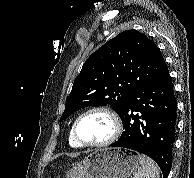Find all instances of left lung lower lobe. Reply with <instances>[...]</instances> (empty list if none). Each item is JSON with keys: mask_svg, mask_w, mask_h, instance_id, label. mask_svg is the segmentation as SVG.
<instances>
[{"mask_svg": "<svg viewBox=\"0 0 194 178\" xmlns=\"http://www.w3.org/2000/svg\"><path fill=\"white\" fill-rule=\"evenodd\" d=\"M117 113L124 131L110 146L149 156L159 165L163 178H167L171 170L177 118V102L167 66L130 94Z\"/></svg>", "mask_w": 194, "mask_h": 178, "instance_id": "0a47b994", "label": "left lung lower lobe"}]
</instances>
